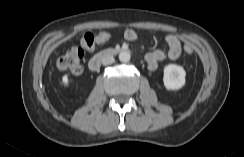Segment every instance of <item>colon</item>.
<instances>
[{
	"label": "colon",
	"instance_id": "5ec220e1",
	"mask_svg": "<svg viewBox=\"0 0 244 157\" xmlns=\"http://www.w3.org/2000/svg\"><path fill=\"white\" fill-rule=\"evenodd\" d=\"M111 39V33L102 31L97 34L85 33L78 38V45L70 47L65 53L60 55L56 60V67L62 72L72 75H80L83 71L82 60L85 50H92L97 45L104 44ZM186 54L193 52L190 44L184 46Z\"/></svg>",
	"mask_w": 244,
	"mask_h": 157
}]
</instances>
